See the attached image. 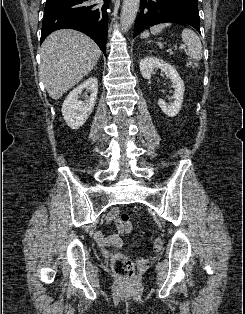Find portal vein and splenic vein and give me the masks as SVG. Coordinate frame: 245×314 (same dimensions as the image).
<instances>
[{"label": "portal vein and splenic vein", "mask_w": 245, "mask_h": 314, "mask_svg": "<svg viewBox=\"0 0 245 314\" xmlns=\"http://www.w3.org/2000/svg\"><path fill=\"white\" fill-rule=\"evenodd\" d=\"M180 49H186V46L183 45V44H181V45H180Z\"/></svg>", "instance_id": "1"}]
</instances>
